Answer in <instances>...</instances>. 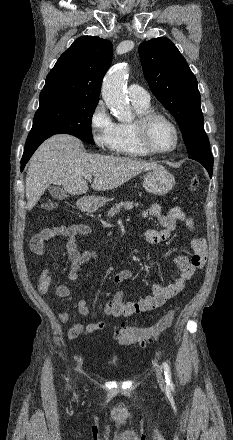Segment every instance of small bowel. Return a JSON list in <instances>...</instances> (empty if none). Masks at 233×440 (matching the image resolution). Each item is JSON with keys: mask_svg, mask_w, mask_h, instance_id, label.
Listing matches in <instances>:
<instances>
[{"mask_svg": "<svg viewBox=\"0 0 233 440\" xmlns=\"http://www.w3.org/2000/svg\"><path fill=\"white\" fill-rule=\"evenodd\" d=\"M142 217H154L158 220L161 229H147L144 239L149 244H159L168 239L174 232L179 222H184L191 231L197 230L194 219L187 217L178 206L171 207L167 213H162L158 203H152L149 208L142 212ZM91 229L87 224L75 223L71 225H60L44 229L38 232L31 240V250L38 255L45 254L46 243L55 237H64L66 251L70 260L68 280L76 281L79 278L80 268L90 260L96 259L94 251H83L78 249L77 242L81 236L88 235ZM193 254L191 257L178 255L174 262L180 270L179 277L169 285L155 283L152 286V295L138 301L125 302L124 292L116 291L104 307V313L112 317H131L163 306L169 299L181 293L194 273L203 268L207 257L206 241L202 237H195L191 241ZM133 273L130 269H122L114 274L112 282L115 285L130 279ZM52 277L49 268L42 269L39 275L38 291L46 294L51 286ZM66 286L60 285L56 289V295L61 298L69 296ZM78 311L81 315L87 316L89 308L84 300L77 302ZM58 319L65 323L69 321L70 315L66 311H57ZM106 327L105 320L92 321L88 323H75L68 330L69 339H76L81 335H89Z\"/></svg>", "mask_w": 233, "mask_h": 440, "instance_id": "c3829d8e", "label": "small bowel"}]
</instances>
